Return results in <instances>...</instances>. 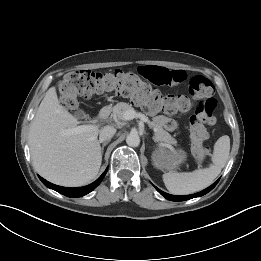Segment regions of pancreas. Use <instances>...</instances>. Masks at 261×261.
<instances>
[{
  "label": "pancreas",
  "mask_w": 261,
  "mask_h": 261,
  "mask_svg": "<svg viewBox=\"0 0 261 261\" xmlns=\"http://www.w3.org/2000/svg\"><path fill=\"white\" fill-rule=\"evenodd\" d=\"M131 109H133L131 105L124 102H119L112 107V116L115 119L122 120L124 112ZM149 126L154 129V141L164 142L166 144H176L175 139L172 138L171 135L165 131L160 124L152 121L149 123Z\"/></svg>",
  "instance_id": "cf45deb5"
}]
</instances>
